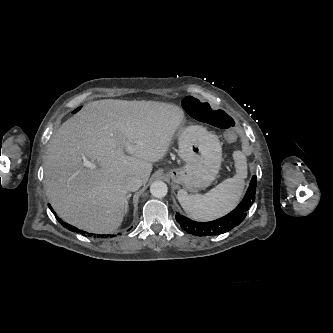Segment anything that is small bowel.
<instances>
[{"instance_id":"1","label":"small bowel","mask_w":333,"mask_h":333,"mask_svg":"<svg viewBox=\"0 0 333 333\" xmlns=\"http://www.w3.org/2000/svg\"><path fill=\"white\" fill-rule=\"evenodd\" d=\"M222 141L225 144H235L238 141V134L234 130H227L222 134ZM241 153L243 155L250 153V145L248 143L241 145Z\"/></svg>"}]
</instances>
